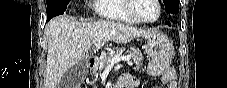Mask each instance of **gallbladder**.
Wrapping results in <instances>:
<instances>
[{
	"label": "gallbladder",
	"mask_w": 227,
	"mask_h": 88,
	"mask_svg": "<svg viewBox=\"0 0 227 88\" xmlns=\"http://www.w3.org/2000/svg\"><path fill=\"white\" fill-rule=\"evenodd\" d=\"M87 74L86 60L82 59L70 68L58 84L59 88H75L82 83Z\"/></svg>",
	"instance_id": "bac80fb5"
}]
</instances>
